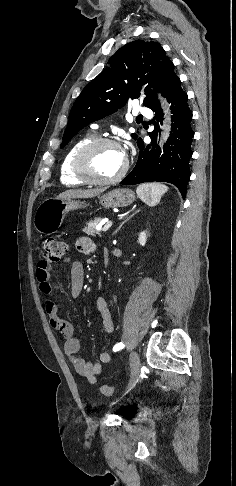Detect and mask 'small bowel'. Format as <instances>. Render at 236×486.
I'll return each mask as SVG.
<instances>
[{
	"mask_svg": "<svg viewBox=\"0 0 236 486\" xmlns=\"http://www.w3.org/2000/svg\"><path fill=\"white\" fill-rule=\"evenodd\" d=\"M76 247L79 252L90 254L94 252L96 246L89 237H80L76 241ZM66 262L71 263L70 286L68 294L72 299L80 297L84 285V266L76 259L66 258ZM51 264L46 258L38 261L36 266V278L39 283L40 291L45 295L52 293L50 284ZM97 309L100 313L102 325L107 333L114 330L112 314L108 308L107 301L104 297H98L96 301ZM46 312L49 316L50 325L56 329L63 338L64 352L69 358L76 372L91 383H95L97 377L103 371L102 364H111L112 355L109 352L100 354V362H92L80 355L82 342L74 336L73 325L59 316V303L55 300L46 302Z\"/></svg>",
	"mask_w": 236,
	"mask_h": 486,
	"instance_id": "small-bowel-1",
	"label": "small bowel"
}]
</instances>
